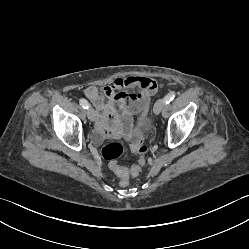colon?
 <instances>
[{
    "label": "colon",
    "instance_id": "1",
    "mask_svg": "<svg viewBox=\"0 0 249 249\" xmlns=\"http://www.w3.org/2000/svg\"><path fill=\"white\" fill-rule=\"evenodd\" d=\"M157 86L156 82H154L151 88H155ZM131 149L134 153L140 156L139 163L137 165L132 166L130 169H126L122 167L117 159L123 154L124 147L122 144L113 142L105 145L101 154L105 160L109 162L110 169L115 172L120 180L119 183L121 186H127L129 183V176H137L140 174L142 167L145 164V155L147 153V146L145 144V139L142 135L137 136L131 144Z\"/></svg>",
    "mask_w": 249,
    "mask_h": 249
}]
</instances>
